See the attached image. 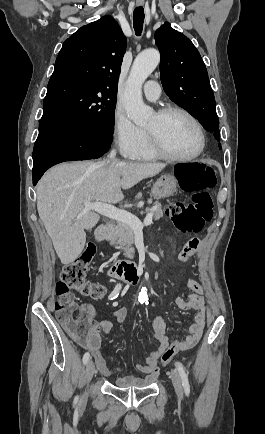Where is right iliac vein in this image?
<instances>
[{
	"label": "right iliac vein",
	"mask_w": 265,
	"mask_h": 434,
	"mask_svg": "<svg viewBox=\"0 0 265 434\" xmlns=\"http://www.w3.org/2000/svg\"><path fill=\"white\" fill-rule=\"evenodd\" d=\"M95 373V365L94 362L92 360L88 361L87 365H86V369H85V377L87 382L89 383L90 380L92 379L93 375ZM83 402H81V406L85 405V401H86V395H83Z\"/></svg>",
	"instance_id": "1"
}]
</instances>
